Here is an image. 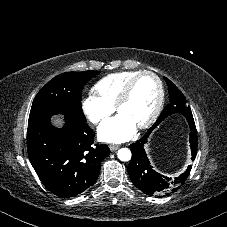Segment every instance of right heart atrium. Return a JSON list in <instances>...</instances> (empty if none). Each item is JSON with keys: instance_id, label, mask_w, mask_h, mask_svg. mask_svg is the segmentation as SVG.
Masks as SVG:
<instances>
[{"instance_id": "obj_1", "label": "right heart atrium", "mask_w": 227, "mask_h": 227, "mask_svg": "<svg viewBox=\"0 0 227 227\" xmlns=\"http://www.w3.org/2000/svg\"><path fill=\"white\" fill-rule=\"evenodd\" d=\"M81 109L88 120L94 124L106 119L113 111V107L95 94H88L82 99Z\"/></svg>"}]
</instances>
